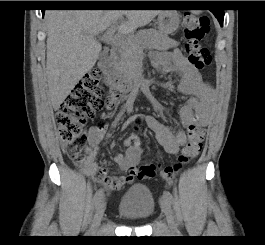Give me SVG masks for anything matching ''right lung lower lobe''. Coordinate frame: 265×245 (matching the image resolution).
Masks as SVG:
<instances>
[{
    "label": "right lung lower lobe",
    "mask_w": 265,
    "mask_h": 245,
    "mask_svg": "<svg viewBox=\"0 0 265 245\" xmlns=\"http://www.w3.org/2000/svg\"><path fill=\"white\" fill-rule=\"evenodd\" d=\"M44 13H45V10H42V14L44 15Z\"/></svg>",
    "instance_id": "right-lung-lower-lobe-1"
}]
</instances>
